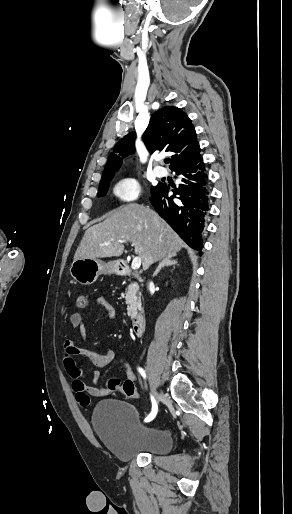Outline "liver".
I'll list each match as a JSON object with an SVG mask.
<instances>
[{
  "label": "liver",
  "instance_id": "6515ba94",
  "mask_svg": "<svg viewBox=\"0 0 292 514\" xmlns=\"http://www.w3.org/2000/svg\"><path fill=\"white\" fill-rule=\"evenodd\" d=\"M118 240L133 242L143 270L162 258L176 256L184 246V242L156 212L139 204H128L113 210L104 222L86 230L74 260L122 256L124 246Z\"/></svg>",
  "mask_w": 292,
  "mask_h": 514
}]
</instances>
